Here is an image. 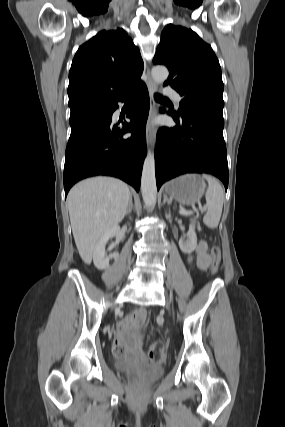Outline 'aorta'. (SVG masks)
<instances>
[{"mask_svg": "<svg viewBox=\"0 0 285 427\" xmlns=\"http://www.w3.org/2000/svg\"><path fill=\"white\" fill-rule=\"evenodd\" d=\"M151 75L154 82L160 84L167 79L169 72L166 67L157 65L152 68ZM141 191L145 206L147 208L153 209L157 199V186L155 177L154 153L150 151L147 153L143 164Z\"/></svg>", "mask_w": 285, "mask_h": 427, "instance_id": "1", "label": "aorta"}]
</instances>
